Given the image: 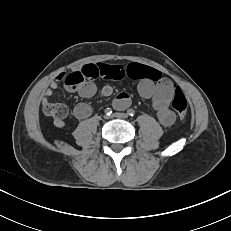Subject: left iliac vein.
<instances>
[{"instance_id": "obj_1", "label": "left iliac vein", "mask_w": 231, "mask_h": 231, "mask_svg": "<svg viewBox=\"0 0 231 231\" xmlns=\"http://www.w3.org/2000/svg\"><path fill=\"white\" fill-rule=\"evenodd\" d=\"M113 116L116 118H121V119H127L128 118V115L126 113H119V112L114 113Z\"/></svg>"}]
</instances>
